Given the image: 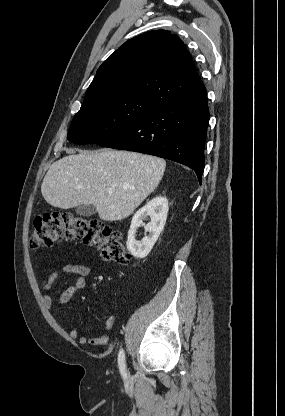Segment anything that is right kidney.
Segmentation results:
<instances>
[{
	"label": "right kidney",
	"mask_w": 285,
	"mask_h": 416,
	"mask_svg": "<svg viewBox=\"0 0 285 416\" xmlns=\"http://www.w3.org/2000/svg\"><path fill=\"white\" fill-rule=\"evenodd\" d=\"M168 210L167 198L157 196L134 214L126 242L127 250L134 258L142 260L151 252L165 226ZM146 216L151 218L149 224H143ZM140 226H144L146 232H149V236H145L141 242H136L135 234Z\"/></svg>",
	"instance_id": "ca27d5eb"
}]
</instances>
